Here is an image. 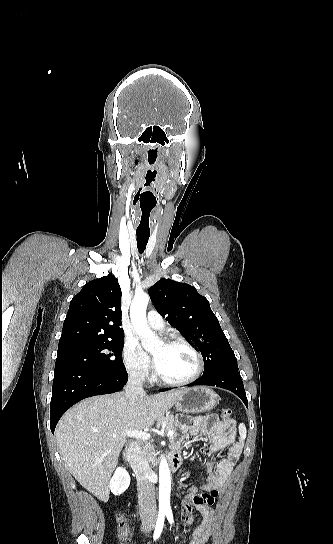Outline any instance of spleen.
Masks as SVG:
<instances>
[{
    "label": "spleen",
    "mask_w": 333,
    "mask_h": 544,
    "mask_svg": "<svg viewBox=\"0 0 333 544\" xmlns=\"http://www.w3.org/2000/svg\"><path fill=\"white\" fill-rule=\"evenodd\" d=\"M238 429H239L240 437L244 439L247 433L245 424L244 423L239 424Z\"/></svg>",
    "instance_id": "obj_1"
}]
</instances>
